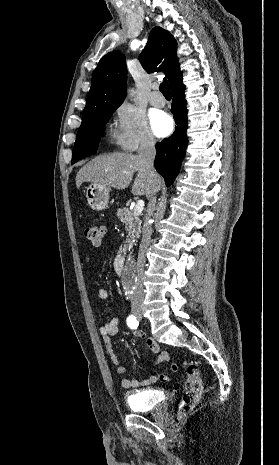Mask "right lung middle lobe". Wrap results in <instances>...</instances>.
Wrapping results in <instances>:
<instances>
[{"mask_svg": "<svg viewBox=\"0 0 279 465\" xmlns=\"http://www.w3.org/2000/svg\"><path fill=\"white\" fill-rule=\"evenodd\" d=\"M115 110H104L91 122L79 127L72 153V164L96 152L105 124Z\"/></svg>", "mask_w": 279, "mask_h": 465, "instance_id": "obj_1", "label": "right lung middle lobe"}]
</instances>
